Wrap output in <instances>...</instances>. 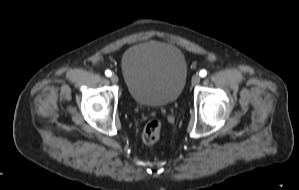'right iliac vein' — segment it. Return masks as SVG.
Listing matches in <instances>:
<instances>
[{
  "instance_id": "1",
  "label": "right iliac vein",
  "mask_w": 299,
  "mask_h": 190,
  "mask_svg": "<svg viewBox=\"0 0 299 190\" xmlns=\"http://www.w3.org/2000/svg\"><path fill=\"white\" fill-rule=\"evenodd\" d=\"M110 80H111L112 83L116 84L118 82V76L116 74H113L110 77Z\"/></svg>"
}]
</instances>
